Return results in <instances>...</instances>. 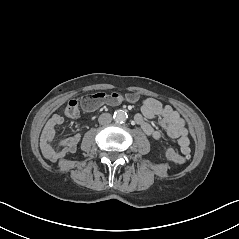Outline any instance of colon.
<instances>
[{
	"instance_id": "obj_1",
	"label": "colon",
	"mask_w": 239,
	"mask_h": 239,
	"mask_svg": "<svg viewBox=\"0 0 239 239\" xmlns=\"http://www.w3.org/2000/svg\"><path fill=\"white\" fill-rule=\"evenodd\" d=\"M138 99L136 94H127L125 96L119 93H106V92H96L87 97H84L81 102L77 100H71L67 104L64 113L70 117L74 118L79 114L80 108H93L98 107L102 104L116 105L124 100L134 102ZM167 157L174 163L180 164L184 163L186 160L185 156L180 155L173 149L167 150Z\"/></svg>"
}]
</instances>
